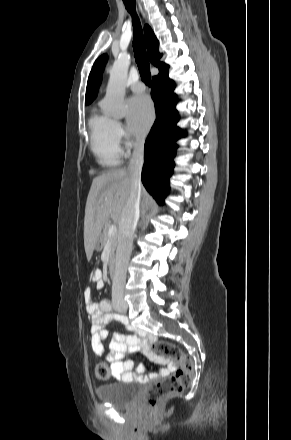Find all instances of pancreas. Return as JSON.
Masks as SVG:
<instances>
[{"label":"pancreas","instance_id":"cf45deb5","mask_svg":"<svg viewBox=\"0 0 291 440\" xmlns=\"http://www.w3.org/2000/svg\"><path fill=\"white\" fill-rule=\"evenodd\" d=\"M110 225L108 223H106L103 227V232L100 236V241L103 245L106 244L107 241H110V259L111 261L114 260V253H115V249L118 243V235L115 234L113 236H109L108 235V230H109Z\"/></svg>","mask_w":291,"mask_h":440}]
</instances>
